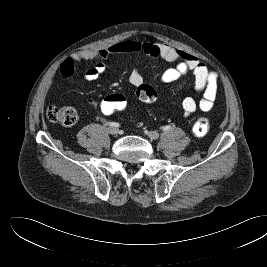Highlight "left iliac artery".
<instances>
[{"instance_id": "obj_1", "label": "left iliac artery", "mask_w": 267, "mask_h": 267, "mask_svg": "<svg viewBox=\"0 0 267 267\" xmlns=\"http://www.w3.org/2000/svg\"><path fill=\"white\" fill-rule=\"evenodd\" d=\"M163 131H169L171 129V126L170 125H167V126H163L161 128Z\"/></svg>"}]
</instances>
